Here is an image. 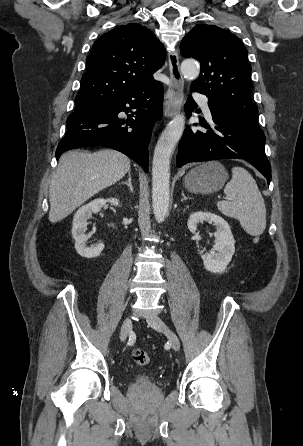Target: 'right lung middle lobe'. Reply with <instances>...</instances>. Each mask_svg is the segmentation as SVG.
Masks as SVG:
<instances>
[{"label":"right lung middle lobe","mask_w":303,"mask_h":446,"mask_svg":"<svg viewBox=\"0 0 303 446\" xmlns=\"http://www.w3.org/2000/svg\"><path fill=\"white\" fill-rule=\"evenodd\" d=\"M75 109H81L83 107L89 106L87 105V101L79 98H75Z\"/></svg>","instance_id":"right-lung-middle-lobe-1"}]
</instances>
